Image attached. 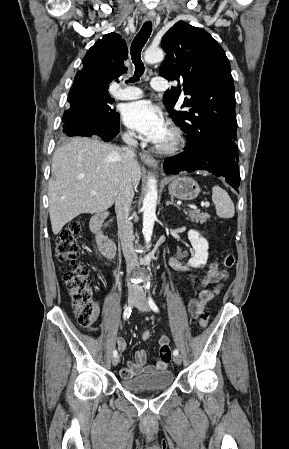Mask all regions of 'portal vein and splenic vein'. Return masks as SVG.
Masks as SVG:
<instances>
[{
	"label": "portal vein and splenic vein",
	"mask_w": 289,
	"mask_h": 449,
	"mask_svg": "<svg viewBox=\"0 0 289 449\" xmlns=\"http://www.w3.org/2000/svg\"><path fill=\"white\" fill-rule=\"evenodd\" d=\"M96 193H97V192H96L95 190H92V191H91V194H92V195H95ZM209 205H210V204H209L208 202H205V203L202 204V206H205V207H209Z\"/></svg>",
	"instance_id": "portal-vein-and-splenic-vein-1"
}]
</instances>
